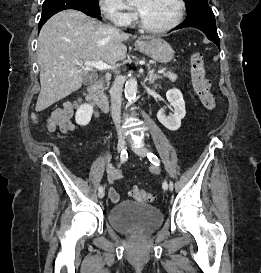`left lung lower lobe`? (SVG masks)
<instances>
[{
	"label": "left lung lower lobe",
	"mask_w": 261,
	"mask_h": 273,
	"mask_svg": "<svg viewBox=\"0 0 261 273\" xmlns=\"http://www.w3.org/2000/svg\"><path fill=\"white\" fill-rule=\"evenodd\" d=\"M187 14L185 21L175 29L185 27L200 29L209 40L213 41L219 47L220 41L217 34L215 16L210 6L208 4L197 6Z\"/></svg>",
	"instance_id": "1"
}]
</instances>
